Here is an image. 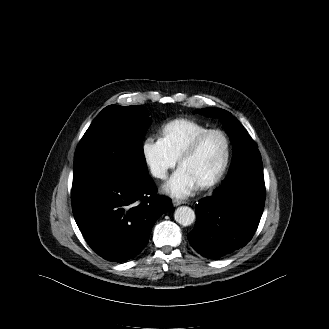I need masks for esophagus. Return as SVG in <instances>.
<instances>
[{
    "label": "esophagus",
    "mask_w": 329,
    "mask_h": 329,
    "mask_svg": "<svg viewBox=\"0 0 329 329\" xmlns=\"http://www.w3.org/2000/svg\"><path fill=\"white\" fill-rule=\"evenodd\" d=\"M173 206H179L181 204H184V201L178 200V199H173L172 200Z\"/></svg>",
    "instance_id": "34e87169"
}]
</instances>
